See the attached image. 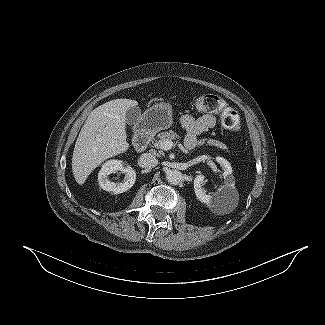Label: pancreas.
<instances>
[{"label": "pancreas", "mask_w": 325, "mask_h": 325, "mask_svg": "<svg viewBox=\"0 0 325 325\" xmlns=\"http://www.w3.org/2000/svg\"><path fill=\"white\" fill-rule=\"evenodd\" d=\"M158 137V140H156L154 142V146L158 149H161L160 148V143L165 141V140H175L176 138H178V135L176 132H174L173 130H169V131H164V132H161L157 135ZM209 145V146H217L219 147L220 149H223V150H227V146L225 144H223L222 142H219L217 140H213V139H201L199 142H198V145L202 146V145Z\"/></svg>", "instance_id": "pancreas-1"}]
</instances>
